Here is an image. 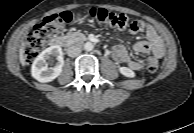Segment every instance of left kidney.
<instances>
[{
	"instance_id": "5707ae66",
	"label": "left kidney",
	"mask_w": 194,
	"mask_h": 133,
	"mask_svg": "<svg viewBox=\"0 0 194 133\" xmlns=\"http://www.w3.org/2000/svg\"><path fill=\"white\" fill-rule=\"evenodd\" d=\"M119 71L122 75L129 78H132L135 76V73L130 68H127V67H120Z\"/></svg>"
}]
</instances>
